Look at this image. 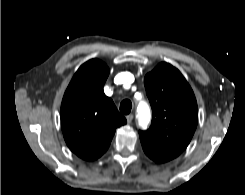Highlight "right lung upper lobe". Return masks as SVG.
<instances>
[{
	"instance_id": "cb5924a9",
	"label": "right lung upper lobe",
	"mask_w": 245,
	"mask_h": 195,
	"mask_svg": "<svg viewBox=\"0 0 245 195\" xmlns=\"http://www.w3.org/2000/svg\"><path fill=\"white\" fill-rule=\"evenodd\" d=\"M109 68L98 59L84 63L62 100L61 126L66 144L80 158L93 161L108 149L117 127L126 124L103 92Z\"/></svg>"
}]
</instances>
